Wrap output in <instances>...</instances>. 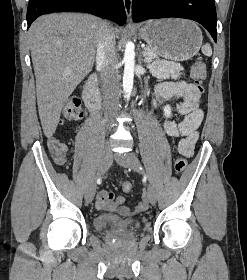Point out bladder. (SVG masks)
<instances>
[{
    "label": "bladder",
    "mask_w": 247,
    "mask_h": 280,
    "mask_svg": "<svg viewBox=\"0 0 247 280\" xmlns=\"http://www.w3.org/2000/svg\"><path fill=\"white\" fill-rule=\"evenodd\" d=\"M94 225L98 230L120 229L124 231L137 230L141 223L136 219H122L115 215H101L95 218Z\"/></svg>",
    "instance_id": "31cf9c89"
}]
</instances>
